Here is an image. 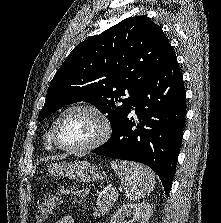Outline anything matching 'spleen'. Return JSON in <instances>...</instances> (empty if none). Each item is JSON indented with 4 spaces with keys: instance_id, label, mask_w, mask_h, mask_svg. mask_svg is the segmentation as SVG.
<instances>
[{
    "instance_id": "spleen-1",
    "label": "spleen",
    "mask_w": 221,
    "mask_h": 223,
    "mask_svg": "<svg viewBox=\"0 0 221 223\" xmlns=\"http://www.w3.org/2000/svg\"><path fill=\"white\" fill-rule=\"evenodd\" d=\"M111 167L119 176L125 195L130 200H139L147 196L154 187V176L146 166L134 162L113 160Z\"/></svg>"
}]
</instances>
